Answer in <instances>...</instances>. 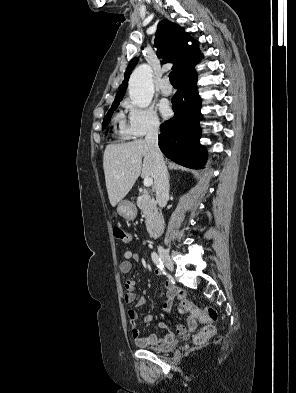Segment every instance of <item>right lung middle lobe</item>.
<instances>
[{
    "mask_svg": "<svg viewBox=\"0 0 296 393\" xmlns=\"http://www.w3.org/2000/svg\"><path fill=\"white\" fill-rule=\"evenodd\" d=\"M120 101H121V100H118V101H114V102H113L111 108L109 109L108 113L106 114V116H105V118H104L103 125H102V129H104V128L107 126V124H108V122H109V120H110V118H111V116H112V114H113V111L118 107Z\"/></svg>",
    "mask_w": 296,
    "mask_h": 393,
    "instance_id": "1",
    "label": "right lung middle lobe"
}]
</instances>
